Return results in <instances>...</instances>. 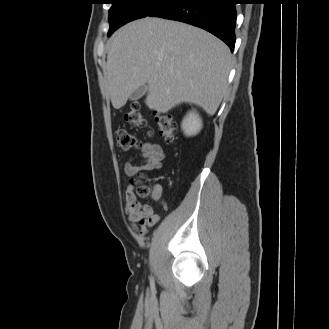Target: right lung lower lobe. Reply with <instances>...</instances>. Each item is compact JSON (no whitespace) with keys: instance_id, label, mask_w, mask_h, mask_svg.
Returning <instances> with one entry per match:
<instances>
[{"instance_id":"1","label":"right lung lower lobe","mask_w":329,"mask_h":329,"mask_svg":"<svg viewBox=\"0 0 329 329\" xmlns=\"http://www.w3.org/2000/svg\"><path fill=\"white\" fill-rule=\"evenodd\" d=\"M235 0H172L150 17H160L188 23L214 34L231 51L235 45Z\"/></svg>"}]
</instances>
